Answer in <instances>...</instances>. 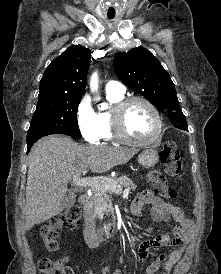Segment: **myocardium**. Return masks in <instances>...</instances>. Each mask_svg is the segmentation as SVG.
<instances>
[{
    "instance_id": "obj_1",
    "label": "myocardium",
    "mask_w": 221,
    "mask_h": 274,
    "mask_svg": "<svg viewBox=\"0 0 221 274\" xmlns=\"http://www.w3.org/2000/svg\"><path fill=\"white\" fill-rule=\"evenodd\" d=\"M136 102L143 103L150 109L156 123V128L154 133L149 138L144 140H137L129 137L125 133L123 128V118H124L125 111L131 104ZM111 121H112V129H113V134L115 139H117L118 141L122 143L134 145V146H148L153 144L154 142L157 141L163 129V121L158 108L150 100L142 96L127 97L121 100L120 102H118L116 105H114L111 112Z\"/></svg>"
}]
</instances>
